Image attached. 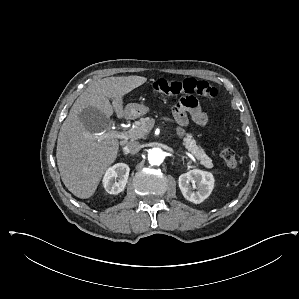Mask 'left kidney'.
<instances>
[{"label": "left kidney", "instance_id": "5707ae66", "mask_svg": "<svg viewBox=\"0 0 299 299\" xmlns=\"http://www.w3.org/2000/svg\"><path fill=\"white\" fill-rule=\"evenodd\" d=\"M178 184L185 199L199 204L211 194L214 177L210 172L193 169L180 175Z\"/></svg>", "mask_w": 299, "mask_h": 299}]
</instances>
